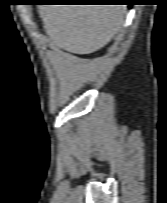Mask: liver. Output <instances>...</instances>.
Wrapping results in <instances>:
<instances>
[{"label": "liver", "mask_w": 167, "mask_h": 203, "mask_svg": "<svg viewBox=\"0 0 167 203\" xmlns=\"http://www.w3.org/2000/svg\"><path fill=\"white\" fill-rule=\"evenodd\" d=\"M38 12L53 44L75 54L104 47L121 29L124 5H39Z\"/></svg>", "instance_id": "1"}]
</instances>
